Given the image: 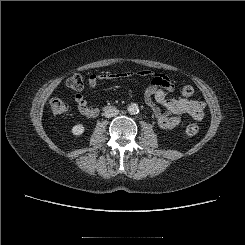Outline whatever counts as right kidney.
Returning <instances> with one entry per match:
<instances>
[{
	"instance_id": "right-kidney-1",
	"label": "right kidney",
	"mask_w": 245,
	"mask_h": 245,
	"mask_svg": "<svg viewBox=\"0 0 245 245\" xmlns=\"http://www.w3.org/2000/svg\"><path fill=\"white\" fill-rule=\"evenodd\" d=\"M85 127L82 124H76L72 127V134L76 137L81 136L84 133Z\"/></svg>"
}]
</instances>
